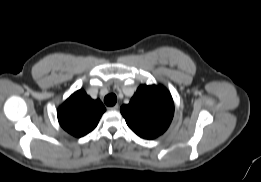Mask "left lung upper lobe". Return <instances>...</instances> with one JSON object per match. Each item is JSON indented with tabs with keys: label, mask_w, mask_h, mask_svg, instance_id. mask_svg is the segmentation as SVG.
<instances>
[{
	"label": "left lung upper lobe",
	"mask_w": 261,
	"mask_h": 182,
	"mask_svg": "<svg viewBox=\"0 0 261 182\" xmlns=\"http://www.w3.org/2000/svg\"><path fill=\"white\" fill-rule=\"evenodd\" d=\"M120 111L133 132L144 139H154L169 127L174 104L165 87L141 85Z\"/></svg>",
	"instance_id": "1"
}]
</instances>
